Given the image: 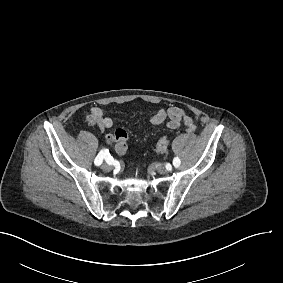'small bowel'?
Returning a JSON list of instances; mask_svg holds the SVG:
<instances>
[{"mask_svg":"<svg viewBox=\"0 0 283 283\" xmlns=\"http://www.w3.org/2000/svg\"><path fill=\"white\" fill-rule=\"evenodd\" d=\"M86 121L89 124L98 126L103 131L112 128L114 125L112 118L105 116L103 110L98 106L90 108ZM150 122L153 125L164 124L168 129H177L180 126H184L190 133L196 129L193 119L185 110L178 107L156 111L151 116ZM106 139L108 142L116 143L115 149L119 155H123L126 152L127 134L123 129L118 128L114 132L107 134Z\"/></svg>","mask_w":283,"mask_h":283,"instance_id":"1","label":"small bowel"}]
</instances>
